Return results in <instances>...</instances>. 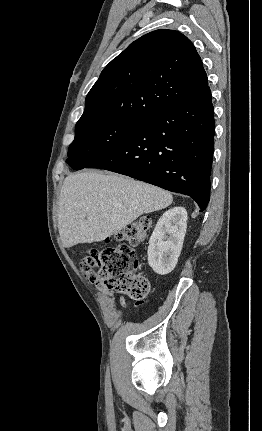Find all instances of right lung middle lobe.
Here are the masks:
<instances>
[{"label": "right lung middle lobe", "mask_w": 262, "mask_h": 431, "mask_svg": "<svg viewBox=\"0 0 262 431\" xmlns=\"http://www.w3.org/2000/svg\"><path fill=\"white\" fill-rule=\"evenodd\" d=\"M141 120H109L76 124L75 139L68 149V163L74 170L86 168L120 141H122Z\"/></svg>", "instance_id": "1"}]
</instances>
